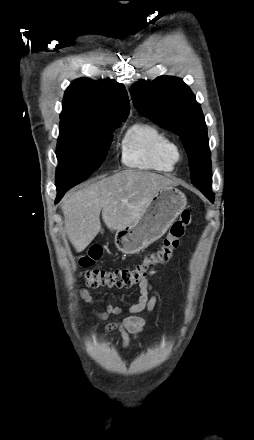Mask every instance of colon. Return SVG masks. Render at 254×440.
Wrapping results in <instances>:
<instances>
[{
    "label": "colon",
    "mask_w": 254,
    "mask_h": 440,
    "mask_svg": "<svg viewBox=\"0 0 254 440\" xmlns=\"http://www.w3.org/2000/svg\"><path fill=\"white\" fill-rule=\"evenodd\" d=\"M191 212L183 211L180 217L173 222L162 246L154 253L148 255L140 263L131 267H121L115 269H88L84 272L83 278L91 288L98 287H129L147 274L149 268L155 264H165L169 261L174 251L178 248L185 228L191 223ZM102 256V249L93 246L83 253L79 258V264L83 268L91 266Z\"/></svg>",
    "instance_id": "5ec220e1"
}]
</instances>
